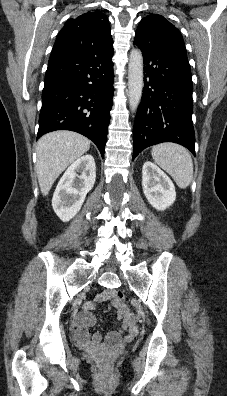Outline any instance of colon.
I'll return each instance as SVG.
<instances>
[{
    "mask_svg": "<svg viewBox=\"0 0 227 396\" xmlns=\"http://www.w3.org/2000/svg\"><path fill=\"white\" fill-rule=\"evenodd\" d=\"M116 298H117L119 301H123V299H124L123 293H122L121 291H118L117 294H116Z\"/></svg>",
    "mask_w": 227,
    "mask_h": 396,
    "instance_id": "5ec220e1",
    "label": "colon"
}]
</instances>
